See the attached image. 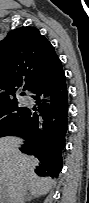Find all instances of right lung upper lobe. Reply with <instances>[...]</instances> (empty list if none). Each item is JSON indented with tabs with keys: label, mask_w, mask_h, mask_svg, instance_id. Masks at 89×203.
Here are the masks:
<instances>
[{
	"label": "right lung upper lobe",
	"mask_w": 89,
	"mask_h": 203,
	"mask_svg": "<svg viewBox=\"0 0 89 203\" xmlns=\"http://www.w3.org/2000/svg\"><path fill=\"white\" fill-rule=\"evenodd\" d=\"M58 66L61 61L54 47L37 28L27 26L10 31L0 41V105L16 100L21 87L29 90Z\"/></svg>",
	"instance_id": "cb5924a9"
}]
</instances>
